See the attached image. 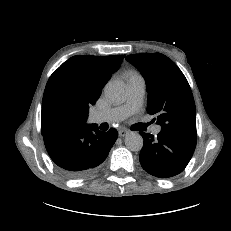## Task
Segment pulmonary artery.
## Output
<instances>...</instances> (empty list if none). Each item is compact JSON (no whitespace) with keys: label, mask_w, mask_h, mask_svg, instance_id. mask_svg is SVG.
Listing matches in <instances>:
<instances>
[{"label":"pulmonary artery","mask_w":231,"mask_h":231,"mask_svg":"<svg viewBox=\"0 0 231 231\" xmlns=\"http://www.w3.org/2000/svg\"><path fill=\"white\" fill-rule=\"evenodd\" d=\"M145 81L144 79H136L128 81V98L127 102L118 107H114L108 110L95 111L90 114V121L92 123H115L122 121L129 115L138 111L143 103L145 94ZM161 131L160 125L152 127V132L158 134Z\"/></svg>","instance_id":"pulmonary-artery-1"}]
</instances>
